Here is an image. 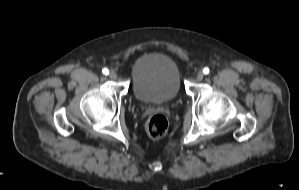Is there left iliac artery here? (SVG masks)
Instances as JSON below:
<instances>
[{
	"mask_svg": "<svg viewBox=\"0 0 299 190\" xmlns=\"http://www.w3.org/2000/svg\"><path fill=\"white\" fill-rule=\"evenodd\" d=\"M209 71H210V70H209V68H207V67H205V68L203 69V73H204V74H208Z\"/></svg>",
	"mask_w": 299,
	"mask_h": 190,
	"instance_id": "obj_1",
	"label": "left iliac artery"
}]
</instances>
